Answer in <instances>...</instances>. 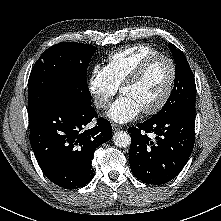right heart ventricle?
<instances>
[{
  "instance_id": "right-heart-ventricle-1",
  "label": "right heart ventricle",
  "mask_w": 221,
  "mask_h": 221,
  "mask_svg": "<svg viewBox=\"0 0 221 221\" xmlns=\"http://www.w3.org/2000/svg\"><path fill=\"white\" fill-rule=\"evenodd\" d=\"M159 50L147 44H136L111 52L106 57V67L117 86H120L130 73L147 57Z\"/></svg>"
}]
</instances>
